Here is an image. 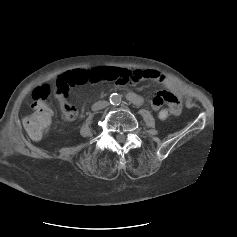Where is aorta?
<instances>
[{
  "label": "aorta",
  "instance_id": "762f6f07",
  "mask_svg": "<svg viewBox=\"0 0 237 237\" xmlns=\"http://www.w3.org/2000/svg\"><path fill=\"white\" fill-rule=\"evenodd\" d=\"M109 100L112 105H119L121 103V96L117 93H113L110 95Z\"/></svg>",
  "mask_w": 237,
  "mask_h": 237
}]
</instances>
